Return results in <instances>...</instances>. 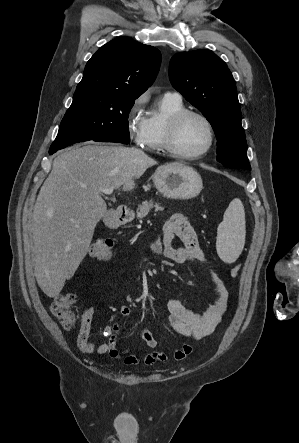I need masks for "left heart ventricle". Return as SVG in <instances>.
Segmentation results:
<instances>
[{
  "label": "left heart ventricle",
  "instance_id": "left-heart-ventricle-1",
  "mask_svg": "<svg viewBox=\"0 0 299 443\" xmlns=\"http://www.w3.org/2000/svg\"><path fill=\"white\" fill-rule=\"evenodd\" d=\"M209 133L205 123L194 116L187 117L180 125L177 138V148L186 154L201 152L207 145Z\"/></svg>",
  "mask_w": 299,
  "mask_h": 443
}]
</instances>
